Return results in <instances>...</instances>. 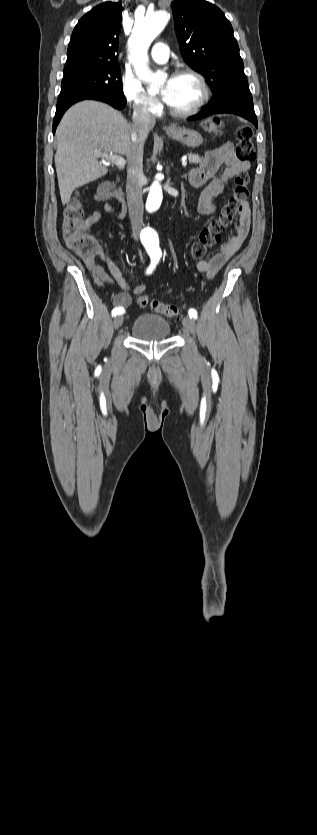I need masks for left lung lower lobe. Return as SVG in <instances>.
<instances>
[{
  "label": "left lung lower lobe",
  "mask_w": 317,
  "mask_h": 835,
  "mask_svg": "<svg viewBox=\"0 0 317 835\" xmlns=\"http://www.w3.org/2000/svg\"><path fill=\"white\" fill-rule=\"evenodd\" d=\"M218 113H232L239 115L252 122L255 125V127H258L257 117L253 106V100L241 97L231 98L217 106L208 104L203 108L201 112L189 117L188 120L202 119L212 114Z\"/></svg>",
  "instance_id": "1"
}]
</instances>
